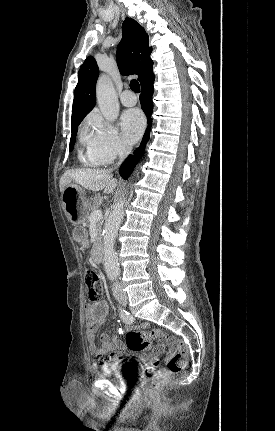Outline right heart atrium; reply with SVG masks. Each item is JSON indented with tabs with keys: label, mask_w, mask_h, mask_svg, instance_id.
I'll use <instances>...</instances> for the list:
<instances>
[{
	"label": "right heart atrium",
	"mask_w": 275,
	"mask_h": 431,
	"mask_svg": "<svg viewBox=\"0 0 275 431\" xmlns=\"http://www.w3.org/2000/svg\"><path fill=\"white\" fill-rule=\"evenodd\" d=\"M80 141L88 161L95 164H110L128 152L117 128L96 113L87 117Z\"/></svg>",
	"instance_id": "1"
}]
</instances>
